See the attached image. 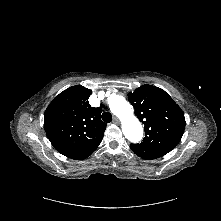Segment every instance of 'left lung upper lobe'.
<instances>
[{"mask_svg":"<svg viewBox=\"0 0 221 221\" xmlns=\"http://www.w3.org/2000/svg\"><path fill=\"white\" fill-rule=\"evenodd\" d=\"M128 101L145 129L143 142L130 145L136 155L156 159L180 142L185 129L184 113L164 90L143 85L128 93Z\"/></svg>","mask_w":221,"mask_h":221,"instance_id":"1","label":"left lung upper lobe"}]
</instances>
